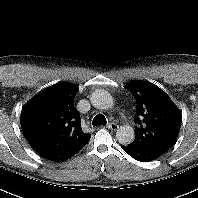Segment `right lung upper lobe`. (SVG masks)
<instances>
[{"mask_svg":"<svg viewBox=\"0 0 198 198\" xmlns=\"http://www.w3.org/2000/svg\"><path fill=\"white\" fill-rule=\"evenodd\" d=\"M78 87L56 83L40 91L22 108L21 128L29 144L38 150H59L89 141L82 131L80 113L74 108Z\"/></svg>","mask_w":198,"mask_h":198,"instance_id":"cb5924a9","label":"right lung upper lobe"}]
</instances>
